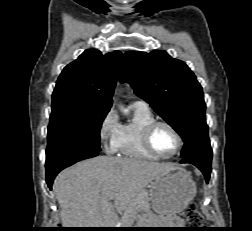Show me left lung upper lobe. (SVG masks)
Listing matches in <instances>:
<instances>
[{
  "mask_svg": "<svg viewBox=\"0 0 252 231\" xmlns=\"http://www.w3.org/2000/svg\"><path fill=\"white\" fill-rule=\"evenodd\" d=\"M119 78L182 137V158L211 150L202 87L184 62L162 50L129 51L123 55Z\"/></svg>",
  "mask_w": 252,
  "mask_h": 231,
  "instance_id": "5c2ea615",
  "label": "left lung upper lobe"
}]
</instances>
